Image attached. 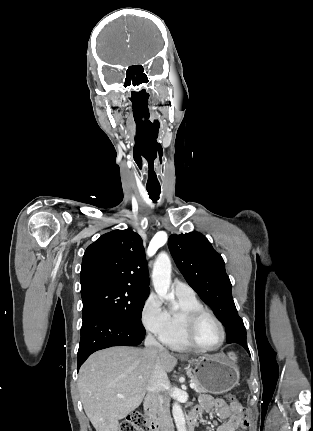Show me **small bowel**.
<instances>
[{
	"label": "small bowel",
	"instance_id": "obj_1",
	"mask_svg": "<svg viewBox=\"0 0 313 431\" xmlns=\"http://www.w3.org/2000/svg\"><path fill=\"white\" fill-rule=\"evenodd\" d=\"M209 411H214L221 421L216 431H244L250 425L246 411L237 402L227 404L223 399H214L209 395H202L199 405L192 413L198 417L202 412Z\"/></svg>",
	"mask_w": 313,
	"mask_h": 431
}]
</instances>
